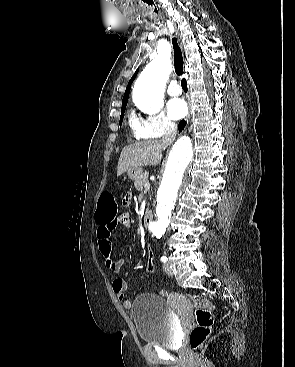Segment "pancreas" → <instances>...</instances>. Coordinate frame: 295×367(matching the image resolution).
<instances>
[{
	"mask_svg": "<svg viewBox=\"0 0 295 367\" xmlns=\"http://www.w3.org/2000/svg\"><path fill=\"white\" fill-rule=\"evenodd\" d=\"M149 182L148 181V175L147 174H142L140 179L135 181V188L139 191H143V188L145 187V183Z\"/></svg>",
	"mask_w": 295,
	"mask_h": 367,
	"instance_id": "pancreas-1",
	"label": "pancreas"
}]
</instances>
